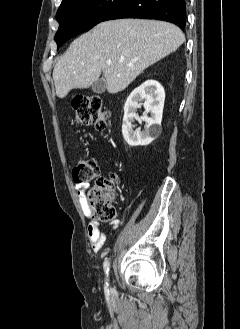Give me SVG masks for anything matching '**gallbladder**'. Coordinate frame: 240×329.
Instances as JSON below:
<instances>
[{
	"label": "gallbladder",
	"mask_w": 240,
	"mask_h": 329,
	"mask_svg": "<svg viewBox=\"0 0 240 329\" xmlns=\"http://www.w3.org/2000/svg\"><path fill=\"white\" fill-rule=\"evenodd\" d=\"M107 88V83L104 78H100L92 84V91L98 94L105 92Z\"/></svg>",
	"instance_id": "1"
}]
</instances>
